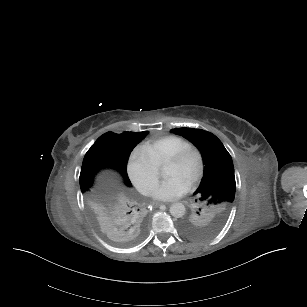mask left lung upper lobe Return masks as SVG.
I'll return each mask as SVG.
<instances>
[{"label": "left lung upper lobe", "instance_id": "5c2ea615", "mask_svg": "<svg viewBox=\"0 0 307 307\" xmlns=\"http://www.w3.org/2000/svg\"><path fill=\"white\" fill-rule=\"evenodd\" d=\"M171 132L191 141L200 150L204 164L203 178L194 193L195 209L181 221L180 229L192 239H208L221 230L234 201L236 183L232 158L210 132L193 128H175Z\"/></svg>", "mask_w": 307, "mask_h": 307}]
</instances>
